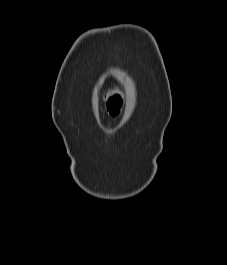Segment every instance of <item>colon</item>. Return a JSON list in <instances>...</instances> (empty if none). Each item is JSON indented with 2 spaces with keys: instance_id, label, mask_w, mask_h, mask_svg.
I'll list each match as a JSON object with an SVG mask.
<instances>
[{
  "instance_id": "colon-1",
  "label": "colon",
  "mask_w": 227,
  "mask_h": 265,
  "mask_svg": "<svg viewBox=\"0 0 227 265\" xmlns=\"http://www.w3.org/2000/svg\"><path fill=\"white\" fill-rule=\"evenodd\" d=\"M121 107V98L119 95H112L108 99V108L112 114L118 112Z\"/></svg>"
}]
</instances>
